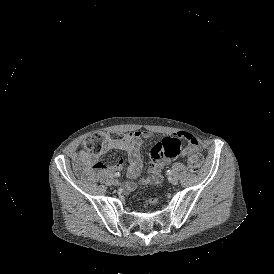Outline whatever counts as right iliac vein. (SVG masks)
<instances>
[{
	"label": "right iliac vein",
	"instance_id": "1",
	"mask_svg": "<svg viewBox=\"0 0 274 274\" xmlns=\"http://www.w3.org/2000/svg\"><path fill=\"white\" fill-rule=\"evenodd\" d=\"M112 183H113V185L116 186V185H118L119 181L117 179H114Z\"/></svg>",
	"mask_w": 274,
	"mask_h": 274
}]
</instances>
